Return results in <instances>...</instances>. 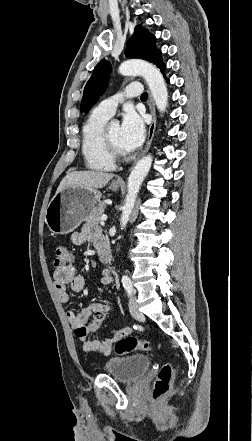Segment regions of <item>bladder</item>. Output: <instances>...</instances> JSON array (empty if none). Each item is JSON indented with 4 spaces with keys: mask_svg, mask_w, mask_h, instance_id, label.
Segmentation results:
<instances>
[{
    "mask_svg": "<svg viewBox=\"0 0 252 441\" xmlns=\"http://www.w3.org/2000/svg\"><path fill=\"white\" fill-rule=\"evenodd\" d=\"M150 366L151 358L142 354L111 358L104 364V368L110 376L125 383L139 380Z\"/></svg>",
    "mask_w": 252,
    "mask_h": 441,
    "instance_id": "bladder-1",
    "label": "bladder"
}]
</instances>
